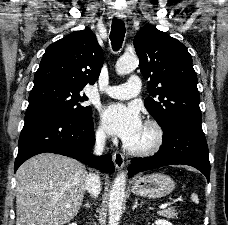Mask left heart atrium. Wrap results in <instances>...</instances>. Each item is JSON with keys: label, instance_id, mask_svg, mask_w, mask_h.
Listing matches in <instances>:
<instances>
[{"label": "left heart atrium", "instance_id": "obj_1", "mask_svg": "<svg viewBox=\"0 0 228 225\" xmlns=\"http://www.w3.org/2000/svg\"><path fill=\"white\" fill-rule=\"evenodd\" d=\"M101 117L111 135L118 136L128 143L134 141L143 129L139 111L133 106L111 104L103 109Z\"/></svg>", "mask_w": 228, "mask_h": 225}]
</instances>
